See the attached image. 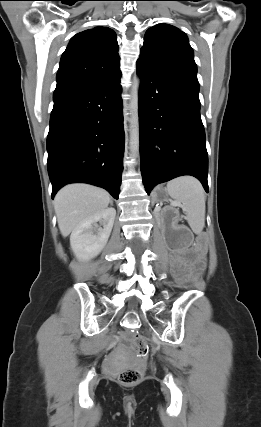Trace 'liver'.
<instances>
[{"instance_id": "1", "label": "liver", "mask_w": 261, "mask_h": 427, "mask_svg": "<svg viewBox=\"0 0 261 427\" xmlns=\"http://www.w3.org/2000/svg\"><path fill=\"white\" fill-rule=\"evenodd\" d=\"M110 203L109 193L88 184H69L55 196L54 209L63 237H67L78 224L99 214Z\"/></svg>"}]
</instances>
